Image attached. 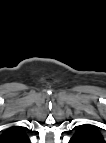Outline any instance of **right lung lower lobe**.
Returning a JSON list of instances; mask_svg holds the SVG:
<instances>
[{
    "label": "right lung lower lobe",
    "instance_id": "98d812e1",
    "mask_svg": "<svg viewBox=\"0 0 106 143\" xmlns=\"http://www.w3.org/2000/svg\"><path fill=\"white\" fill-rule=\"evenodd\" d=\"M23 143H30L29 139L27 138Z\"/></svg>",
    "mask_w": 106,
    "mask_h": 143
}]
</instances>
